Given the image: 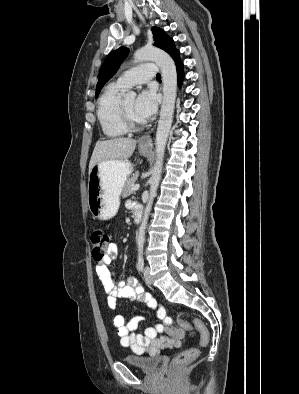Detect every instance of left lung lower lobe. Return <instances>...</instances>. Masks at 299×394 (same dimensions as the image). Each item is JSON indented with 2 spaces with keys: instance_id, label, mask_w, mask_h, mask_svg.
<instances>
[{
  "instance_id": "0a47b994",
  "label": "left lung lower lobe",
  "mask_w": 299,
  "mask_h": 394,
  "mask_svg": "<svg viewBox=\"0 0 299 394\" xmlns=\"http://www.w3.org/2000/svg\"><path fill=\"white\" fill-rule=\"evenodd\" d=\"M171 57L174 59L176 64L178 83L181 84L183 81L184 73H183V63L180 59L179 51L177 50V52Z\"/></svg>"
}]
</instances>
